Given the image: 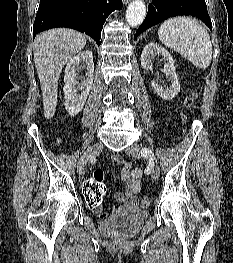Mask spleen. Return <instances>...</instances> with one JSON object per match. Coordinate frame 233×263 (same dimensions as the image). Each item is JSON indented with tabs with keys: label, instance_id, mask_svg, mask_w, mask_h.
<instances>
[{
	"label": "spleen",
	"instance_id": "spleen-1",
	"mask_svg": "<svg viewBox=\"0 0 233 263\" xmlns=\"http://www.w3.org/2000/svg\"><path fill=\"white\" fill-rule=\"evenodd\" d=\"M159 40L180 53L195 67L206 69L212 60V43L206 29L192 17L166 20L158 30Z\"/></svg>",
	"mask_w": 233,
	"mask_h": 263
}]
</instances>
